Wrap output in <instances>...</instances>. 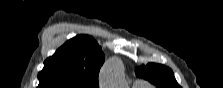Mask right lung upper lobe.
I'll return each instance as SVG.
<instances>
[{"mask_svg": "<svg viewBox=\"0 0 223 88\" xmlns=\"http://www.w3.org/2000/svg\"><path fill=\"white\" fill-rule=\"evenodd\" d=\"M105 56L90 36L79 35L44 62L38 88H99L98 74Z\"/></svg>", "mask_w": 223, "mask_h": 88, "instance_id": "obj_1", "label": "right lung upper lobe"}]
</instances>
